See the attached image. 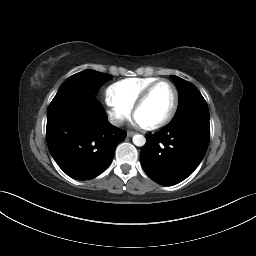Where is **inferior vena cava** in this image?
<instances>
[{
	"mask_svg": "<svg viewBox=\"0 0 256 256\" xmlns=\"http://www.w3.org/2000/svg\"><path fill=\"white\" fill-rule=\"evenodd\" d=\"M123 122H124L123 118H116V117L110 118V123L114 126H122Z\"/></svg>",
	"mask_w": 256,
	"mask_h": 256,
	"instance_id": "602c4592",
	"label": "inferior vena cava"
}]
</instances>
